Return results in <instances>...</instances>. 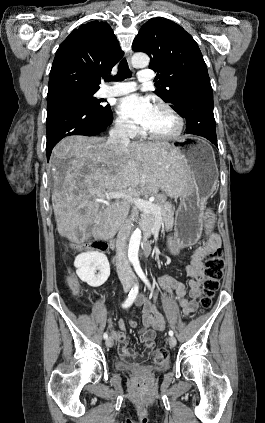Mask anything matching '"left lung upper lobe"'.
<instances>
[{"label": "left lung upper lobe", "mask_w": 265, "mask_h": 423, "mask_svg": "<svg viewBox=\"0 0 265 423\" xmlns=\"http://www.w3.org/2000/svg\"><path fill=\"white\" fill-rule=\"evenodd\" d=\"M132 49L151 58L149 68L159 73L161 86L155 93L165 102L180 107L179 92L199 77H209L201 51L181 26L164 18H152L139 30Z\"/></svg>", "instance_id": "obj_1"}]
</instances>
